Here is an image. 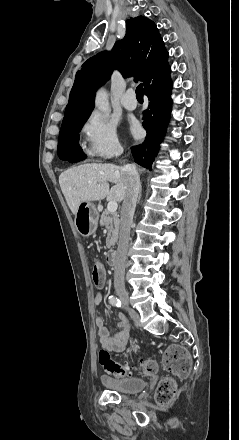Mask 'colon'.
<instances>
[{"mask_svg": "<svg viewBox=\"0 0 239 440\" xmlns=\"http://www.w3.org/2000/svg\"><path fill=\"white\" fill-rule=\"evenodd\" d=\"M92 281L96 286H103L105 283L104 268L98 260L93 263ZM99 361L105 371L115 377H125L132 374L133 370L129 365L114 361L107 350L102 349L100 351ZM163 365L167 372L177 378L188 375L191 367L187 351L180 346L170 347L165 352ZM134 370L139 374L152 375L157 371V363L154 360L146 359L141 361ZM175 386L173 378H166L160 382L157 388V396L162 405L168 404L172 400Z\"/></svg>", "mask_w": 239, "mask_h": 440, "instance_id": "colon-1", "label": "colon"}]
</instances>
